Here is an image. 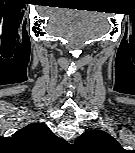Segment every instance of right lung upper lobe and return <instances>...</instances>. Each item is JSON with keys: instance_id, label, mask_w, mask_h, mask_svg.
<instances>
[{"instance_id": "right-lung-upper-lobe-1", "label": "right lung upper lobe", "mask_w": 135, "mask_h": 153, "mask_svg": "<svg viewBox=\"0 0 135 153\" xmlns=\"http://www.w3.org/2000/svg\"><path fill=\"white\" fill-rule=\"evenodd\" d=\"M13 136L35 147H46L63 141L42 123H31L17 131Z\"/></svg>"}]
</instances>
